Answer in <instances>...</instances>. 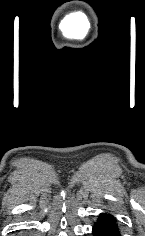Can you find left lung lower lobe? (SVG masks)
<instances>
[{"label":"left lung lower lobe","instance_id":"0a47b994","mask_svg":"<svg viewBox=\"0 0 145 236\" xmlns=\"http://www.w3.org/2000/svg\"><path fill=\"white\" fill-rule=\"evenodd\" d=\"M93 236H121L117 219L109 213H101L92 229Z\"/></svg>","mask_w":145,"mask_h":236}]
</instances>
